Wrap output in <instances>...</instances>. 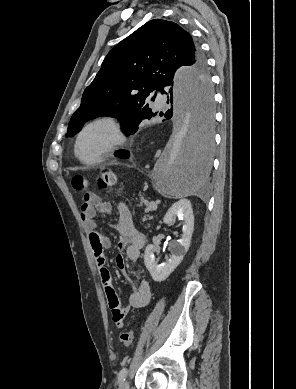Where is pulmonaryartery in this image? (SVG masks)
<instances>
[{
	"label": "pulmonary artery",
	"instance_id": "e3ab8cb5",
	"mask_svg": "<svg viewBox=\"0 0 296 389\" xmlns=\"http://www.w3.org/2000/svg\"><path fill=\"white\" fill-rule=\"evenodd\" d=\"M165 104V97L161 93H157L154 98L153 105L156 108L163 107Z\"/></svg>",
	"mask_w": 296,
	"mask_h": 389
}]
</instances>
